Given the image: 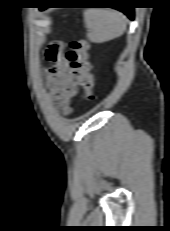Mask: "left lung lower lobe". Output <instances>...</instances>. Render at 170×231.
<instances>
[{"instance_id": "1", "label": "left lung lower lobe", "mask_w": 170, "mask_h": 231, "mask_svg": "<svg viewBox=\"0 0 170 231\" xmlns=\"http://www.w3.org/2000/svg\"><path fill=\"white\" fill-rule=\"evenodd\" d=\"M119 7H114L115 9H118L125 13L131 20L134 19V8L133 7H122V4H115ZM44 9V8H42Z\"/></svg>"}]
</instances>
